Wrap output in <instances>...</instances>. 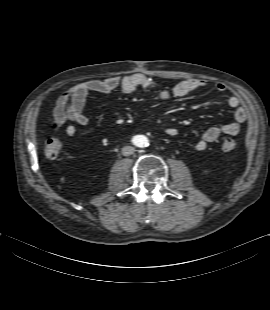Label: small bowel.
Listing matches in <instances>:
<instances>
[{
    "instance_id": "small-bowel-1",
    "label": "small bowel",
    "mask_w": 270,
    "mask_h": 310,
    "mask_svg": "<svg viewBox=\"0 0 270 310\" xmlns=\"http://www.w3.org/2000/svg\"><path fill=\"white\" fill-rule=\"evenodd\" d=\"M206 86L207 83L203 79H188L179 82L171 89L159 91V97L163 100L180 98ZM156 87L157 84L153 78L139 72L102 80H84L71 87L57 99L54 109V121L57 127L64 128L66 134L71 137L76 133V124L86 126L89 123V118L84 113V109L90 92L109 93L120 90L125 94H129L137 88L152 90ZM215 89L220 93L227 91V87L222 83H217ZM227 103L234 111L233 121L208 128L196 143L195 148L197 150H204L208 143L216 141L223 134L237 135L239 133L241 124L247 119V111L242 106L237 95L229 96ZM165 132L171 137L176 136L178 133L173 127L166 128Z\"/></svg>"
}]
</instances>
